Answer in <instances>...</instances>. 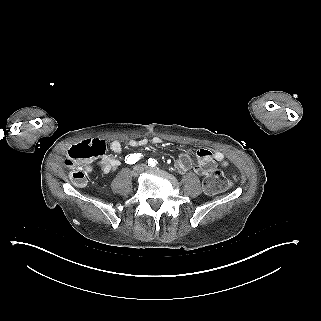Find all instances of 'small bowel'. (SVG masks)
I'll list each match as a JSON object with an SVG mask.
<instances>
[{
  "label": "small bowel",
  "mask_w": 321,
  "mask_h": 321,
  "mask_svg": "<svg viewBox=\"0 0 321 321\" xmlns=\"http://www.w3.org/2000/svg\"><path fill=\"white\" fill-rule=\"evenodd\" d=\"M96 143L100 144L104 149L97 162L98 168L106 174L115 172L120 166V161L117 158L104 153L107 147L105 142L99 140L96 141ZM149 143L161 144L162 139L158 137L153 138L151 141H148L147 139H131L128 141V146L137 148L147 146ZM108 148L115 154H120L122 152V146L118 141H111ZM217 164L226 165L224 154L220 151H212L207 148L198 150L196 159H193L188 153H183L176 162V166L181 172L193 170L201 175H206ZM84 168L86 171H92L93 165L91 164V161H86Z\"/></svg>",
  "instance_id": "obj_1"
}]
</instances>
